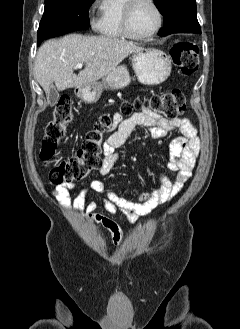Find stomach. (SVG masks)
<instances>
[{
  "label": "stomach",
  "instance_id": "0dacf381",
  "mask_svg": "<svg viewBox=\"0 0 240 329\" xmlns=\"http://www.w3.org/2000/svg\"><path fill=\"white\" fill-rule=\"evenodd\" d=\"M133 70L140 83L158 85L164 82L171 73L169 57L158 49H142L132 57ZM131 77L125 66H118L102 81L88 83L78 88V96L86 103H95L104 89H121L129 85Z\"/></svg>",
  "mask_w": 240,
  "mask_h": 329
}]
</instances>
